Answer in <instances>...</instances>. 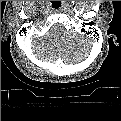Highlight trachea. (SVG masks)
I'll list each match as a JSON object with an SVG mask.
<instances>
[{"label": "trachea", "instance_id": "obj_1", "mask_svg": "<svg viewBox=\"0 0 121 121\" xmlns=\"http://www.w3.org/2000/svg\"><path fill=\"white\" fill-rule=\"evenodd\" d=\"M54 7H55V8H59V4H58V3H55V4H54Z\"/></svg>", "mask_w": 121, "mask_h": 121}]
</instances>
